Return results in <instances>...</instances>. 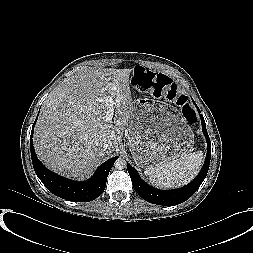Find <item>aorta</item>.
<instances>
[{
    "instance_id": "obj_1",
    "label": "aorta",
    "mask_w": 253,
    "mask_h": 253,
    "mask_svg": "<svg viewBox=\"0 0 253 253\" xmlns=\"http://www.w3.org/2000/svg\"><path fill=\"white\" fill-rule=\"evenodd\" d=\"M126 166H127V162L124 158H118L114 162V167L118 170H122L126 168Z\"/></svg>"
}]
</instances>
